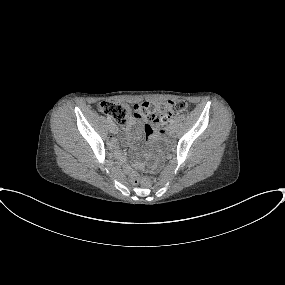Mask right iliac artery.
Wrapping results in <instances>:
<instances>
[{
	"label": "right iliac artery",
	"instance_id": "82829eb1",
	"mask_svg": "<svg viewBox=\"0 0 285 285\" xmlns=\"http://www.w3.org/2000/svg\"><path fill=\"white\" fill-rule=\"evenodd\" d=\"M107 120L109 121V122H112V120H111V118L108 116L107 117Z\"/></svg>",
	"mask_w": 285,
	"mask_h": 285
}]
</instances>
